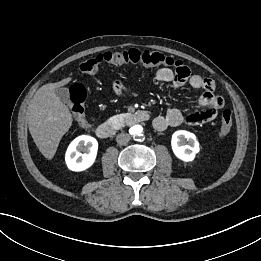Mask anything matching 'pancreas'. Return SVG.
<instances>
[{"label": "pancreas", "instance_id": "1", "mask_svg": "<svg viewBox=\"0 0 261 261\" xmlns=\"http://www.w3.org/2000/svg\"><path fill=\"white\" fill-rule=\"evenodd\" d=\"M126 114H117L108 119V122L116 129H120L125 122Z\"/></svg>", "mask_w": 261, "mask_h": 261}]
</instances>
